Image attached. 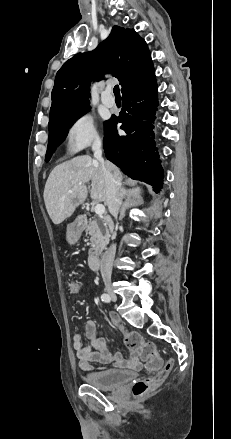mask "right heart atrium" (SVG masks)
<instances>
[{
  "label": "right heart atrium",
  "mask_w": 231,
  "mask_h": 439,
  "mask_svg": "<svg viewBox=\"0 0 231 439\" xmlns=\"http://www.w3.org/2000/svg\"><path fill=\"white\" fill-rule=\"evenodd\" d=\"M101 143L95 121L92 116L84 114L76 117L66 132V147L71 154L88 147H97Z\"/></svg>",
  "instance_id": "obj_1"
}]
</instances>
